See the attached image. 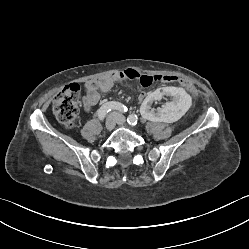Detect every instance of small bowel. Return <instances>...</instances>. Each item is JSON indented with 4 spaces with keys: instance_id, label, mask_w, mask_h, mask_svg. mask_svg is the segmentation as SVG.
<instances>
[{
    "instance_id": "small-bowel-1",
    "label": "small bowel",
    "mask_w": 249,
    "mask_h": 249,
    "mask_svg": "<svg viewBox=\"0 0 249 249\" xmlns=\"http://www.w3.org/2000/svg\"><path fill=\"white\" fill-rule=\"evenodd\" d=\"M140 76V72L136 70L112 71L100 79L86 82L85 95L82 100L84 109L90 111L100 101L102 94L110 91L115 83L120 81L134 82L139 80Z\"/></svg>"
}]
</instances>
